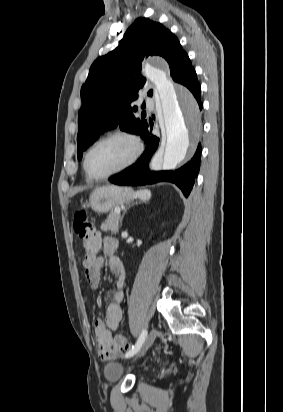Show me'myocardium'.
I'll return each mask as SVG.
<instances>
[{
    "label": "myocardium",
    "mask_w": 283,
    "mask_h": 412,
    "mask_svg": "<svg viewBox=\"0 0 283 412\" xmlns=\"http://www.w3.org/2000/svg\"><path fill=\"white\" fill-rule=\"evenodd\" d=\"M112 138H125V139H128L133 144V148H134L133 155L131 156V158L125 164H123L119 168H117V169H115V170H113L109 173H106V174H103V175L93 174L90 171L89 167H88V159H89L90 153L92 152V150L97 145H99L100 143H102L106 140L112 139ZM142 151H143V146H142V143H141V141H140V139L138 138L137 135H135L134 133H132L130 131H127V130H115V131L109 132V133L101 136L100 138L95 140L89 146V148L87 149V151L84 155V158H83V168H84V171L86 172V174L91 179H94V180L107 179V178H109L113 175L121 173L124 170L130 168L140 158V156L142 154Z\"/></svg>",
    "instance_id": "f54148a6"
}]
</instances>
